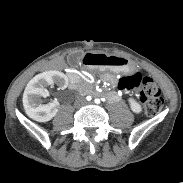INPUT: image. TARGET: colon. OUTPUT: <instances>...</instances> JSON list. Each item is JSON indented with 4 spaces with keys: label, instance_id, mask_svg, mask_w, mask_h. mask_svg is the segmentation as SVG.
<instances>
[{
    "label": "colon",
    "instance_id": "colon-1",
    "mask_svg": "<svg viewBox=\"0 0 183 183\" xmlns=\"http://www.w3.org/2000/svg\"><path fill=\"white\" fill-rule=\"evenodd\" d=\"M88 64L95 66L123 65L124 60L104 55H93L88 59ZM118 88L122 91L138 90L140 102L144 112L149 116L157 115L163 107V97L158 84L150 77L140 73H132L120 78Z\"/></svg>",
    "mask_w": 183,
    "mask_h": 183
}]
</instances>
